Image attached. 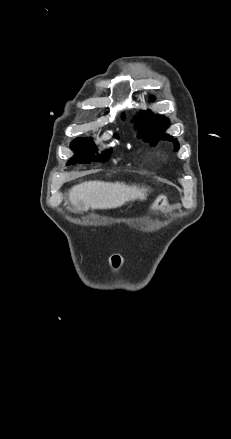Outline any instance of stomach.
I'll return each mask as SVG.
<instances>
[{"label":"stomach","mask_w":231,"mask_h":439,"mask_svg":"<svg viewBox=\"0 0 231 439\" xmlns=\"http://www.w3.org/2000/svg\"><path fill=\"white\" fill-rule=\"evenodd\" d=\"M167 204H168V201H167L166 196H164V195H160V196L157 198V200L155 201V203H154V205H153V209H154V210H160V209H162L163 207L167 206Z\"/></svg>","instance_id":"0dacf381"}]
</instances>
